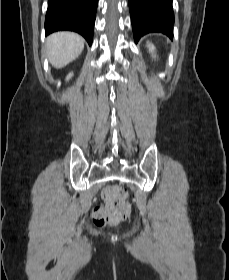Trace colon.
I'll return each instance as SVG.
<instances>
[{"mask_svg": "<svg viewBox=\"0 0 229 280\" xmlns=\"http://www.w3.org/2000/svg\"><path fill=\"white\" fill-rule=\"evenodd\" d=\"M106 207H96L93 212L96 226L117 225L129 216L131 207L127 191L119 184L111 185L103 191Z\"/></svg>", "mask_w": 229, "mask_h": 280, "instance_id": "5ec220e1", "label": "colon"}]
</instances>
